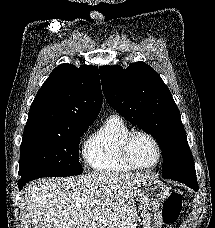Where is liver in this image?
<instances>
[{"mask_svg": "<svg viewBox=\"0 0 215 228\" xmlns=\"http://www.w3.org/2000/svg\"><path fill=\"white\" fill-rule=\"evenodd\" d=\"M147 174L94 172L79 178H42L24 188L37 228H136V190Z\"/></svg>", "mask_w": 215, "mask_h": 228, "instance_id": "1", "label": "liver"}]
</instances>
